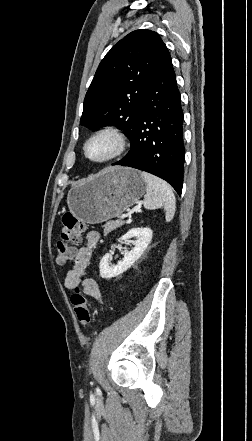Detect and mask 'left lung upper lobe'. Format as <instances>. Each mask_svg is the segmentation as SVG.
Instances as JSON below:
<instances>
[{"mask_svg":"<svg viewBox=\"0 0 252 441\" xmlns=\"http://www.w3.org/2000/svg\"><path fill=\"white\" fill-rule=\"evenodd\" d=\"M163 46L159 35L146 29L115 44L86 93L80 123L91 129L117 126L131 140Z\"/></svg>","mask_w":252,"mask_h":441,"instance_id":"5c2ea615","label":"left lung upper lobe"}]
</instances>
